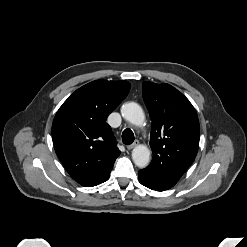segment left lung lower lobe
Here are the masks:
<instances>
[{
	"instance_id": "0a47b994",
	"label": "left lung lower lobe",
	"mask_w": 247,
	"mask_h": 247,
	"mask_svg": "<svg viewBox=\"0 0 247 247\" xmlns=\"http://www.w3.org/2000/svg\"><path fill=\"white\" fill-rule=\"evenodd\" d=\"M139 181L142 185L156 191H164L171 187L172 185L168 184L159 177L146 172L145 170H140L138 173Z\"/></svg>"
}]
</instances>
